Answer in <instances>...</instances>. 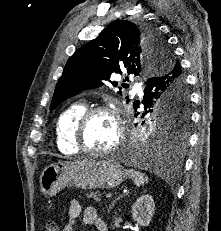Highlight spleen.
I'll return each mask as SVG.
<instances>
[{"label":"spleen","instance_id":"3e777b00","mask_svg":"<svg viewBox=\"0 0 221 231\" xmlns=\"http://www.w3.org/2000/svg\"><path fill=\"white\" fill-rule=\"evenodd\" d=\"M126 171L133 178L134 183L137 186L144 185L145 183L148 182V177L145 174H143V173H141L139 171L133 170V169H129V170H126Z\"/></svg>","mask_w":221,"mask_h":231}]
</instances>
